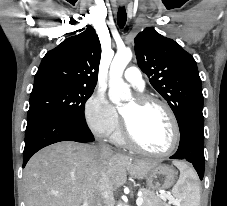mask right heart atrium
<instances>
[{"label":"right heart atrium","instance_id":"right-heart-atrium-1","mask_svg":"<svg viewBox=\"0 0 227 206\" xmlns=\"http://www.w3.org/2000/svg\"><path fill=\"white\" fill-rule=\"evenodd\" d=\"M89 129L99 137L112 135L119 127V115L113 104L101 92L93 93L84 108Z\"/></svg>","mask_w":227,"mask_h":206}]
</instances>
